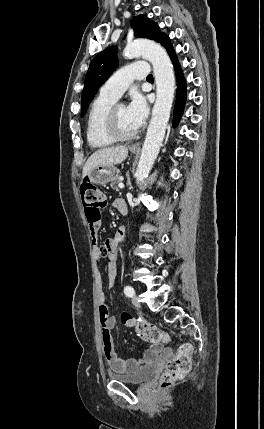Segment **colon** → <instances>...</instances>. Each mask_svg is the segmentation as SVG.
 <instances>
[{
	"mask_svg": "<svg viewBox=\"0 0 264 429\" xmlns=\"http://www.w3.org/2000/svg\"><path fill=\"white\" fill-rule=\"evenodd\" d=\"M80 194L88 222L90 224L98 223L107 205L104 194L88 181H84L81 184ZM121 322L127 327L134 328L142 340L151 344L162 345L169 340L167 333L149 322L136 319L127 312L121 314ZM192 355V345L186 343L179 347L177 352L167 362L166 370L161 377L162 387L171 385L189 373Z\"/></svg>",
	"mask_w": 264,
	"mask_h": 429,
	"instance_id": "1",
	"label": "colon"
}]
</instances>
